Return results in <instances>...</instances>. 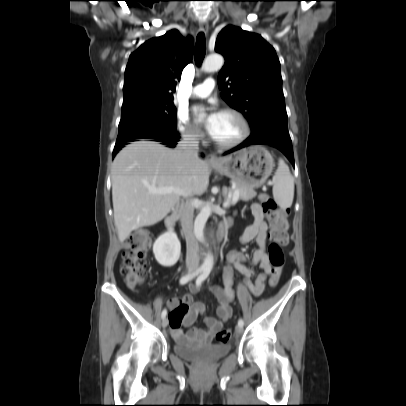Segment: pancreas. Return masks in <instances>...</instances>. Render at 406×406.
<instances>
[{
  "label": "pancreas",
  "mask_w": 406,
  "mask_h": 406,
  "mask_svg": "<svg viewBox=\"0 0 406 406\" xmlns=\"http://www.w3.org/2000/svg\"><path fill=\"white\" fill-rule=\"evenodd\" d=\"M235 190H239L241 192L238 199L242 201H249L257 195V193L253 189L235 183V188L229 189L227 191V193L225 194V199L227 200L229 198V194H233Z\"/></svg>",
  "instance_id": "cf45deb5"
}]
</instances>
